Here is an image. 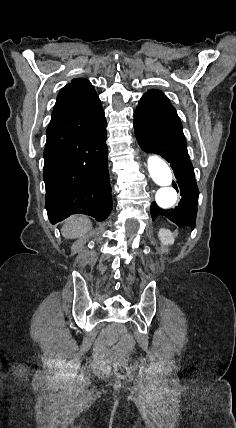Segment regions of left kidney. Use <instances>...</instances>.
Segmentation results:
<instances>
[{"label":"left kidney","instance_id":"left-kidney-1","mask_svg":"<svg viewBox=\"0 0 236 428\" xmlns=\"http://www.w3.org/2000/svg\"><path fill=\"white\" fill-rule=\"evenodd\" d=\"M162 244H174V238L170 232V230H164V228H162V230H160L159 234H158Z\"/></svg>","mask_w":236,"mask_h":428}]
</instances>
